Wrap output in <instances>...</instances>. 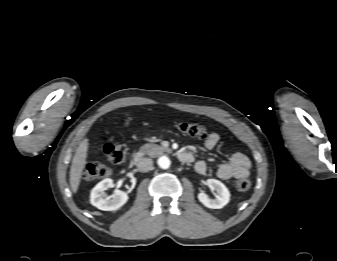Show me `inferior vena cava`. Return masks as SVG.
<instances>
[{
  "mask_svg": "<svg viewBox=\"0 0 337 261\" xmlns=\"http://www.w3.org/2000/svg\"><path fill=\"white\" fill-rule=\"evenodd\" d=\"M138 170L141 172H147L153 167V160L150 158H142L137 164Z\"/></svg>",
  "mask_w": 337,
  "mask_h": 261,
  "instance_id": "1",
  "label": "inferior vena cava"
}]
</instances>
